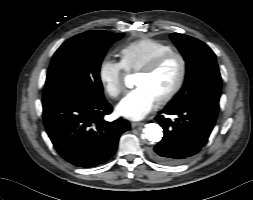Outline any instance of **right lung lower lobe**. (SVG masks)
I'll return each instance as SVG.
<instances>
[{
	"label": "right lung lower lobe",
	"instance_id": "right-lung-lower-lobe-1",
	"mask_svg": "<svg viewBox=\"0 0 253 200\" xmlns=\"http://www.w3.org/2000/svg\"><path fill=\"white\" fill-rule=\"evenodd\" d=\"M42 103L44 125L55 149L78 167H94L109 160L120 135L130 128L123 119H103L113 110L105 99L88 102L53 98Z\"/></svg>",
	"mask_w": 253,
	"mask_h": 200
}]
</instances>
